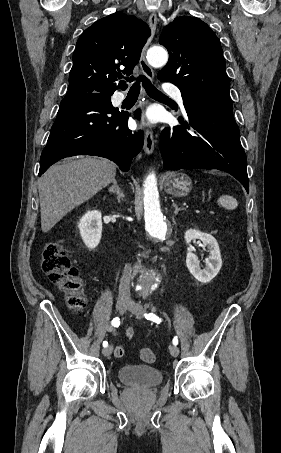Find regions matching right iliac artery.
Masks as SVG:
<instances>
[{
	"label": "right iliac artery",
	"instance_id": "obj_1",
	"mask_svg": "<svg viewBox=\"0 0 281 453\" xmlns=\"http://www.w3.org/2000/svg\"><path fill=\"white\" fill-rule=\"evenodd\" d=\"M112 326L114 327H118L120 325V321H119V318L116 317L112 320ZM108 346V342L107 341H103V347H107Z\"/></svg>",
	"mask_w": 281,
	"mask_h": 453
}]
</instances>
